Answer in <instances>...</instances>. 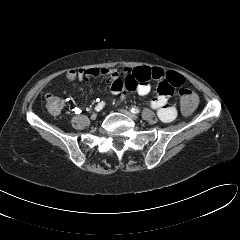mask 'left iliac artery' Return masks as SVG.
I'll return each mask as SVG.
<instances>
[{
	"label": "left iliac artery",
	"mask_w": 240,
	"mask_h": 240,
	"mask_svg": "<svg viewBox=\"0 0 240 240\" xmlns=\"http://www.w3.org/2000/svg\"><path fill=\"white\" fill-rule=\"evenodd\" d=\"M130 111H131L133 114H138V113H140V109H138L137 107H132V108L130 109Z\"/></svg>",
	"instance_id": "1"
}]
</instances>
